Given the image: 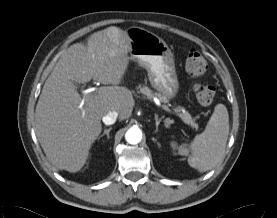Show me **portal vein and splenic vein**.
<instances>
[{"label": "portal vein and splenic vein", "mask_w": 277, "mask_h": 218, "mask_svg": "<svg viewBox=\"0 0 277 218\" xmlns=\"http://www.w3.org/2000/svg\"><path fill=\"white\" fill-rule=\"evenodd\" d=\"M93 97V93H88L86 95V98H92ZM161 108L164 109L165 111L174 114V112L172 111V109H170L168 106L166 105H161Z\"/></svg>", "instance_id": "1"}]
</instances>
